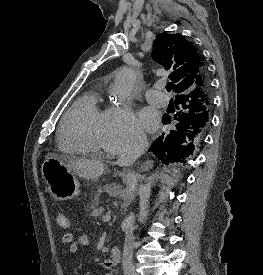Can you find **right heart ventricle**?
Returning a JSON list of instances; mask_svg holds the SVG:
<instances>
[{
  "label": "right heart ventricle",
  "mask_w": 263,
  "mask_h": 275,
  "mask_svg": "<svg viewBox=\"0 0 263 275\" xmlns=\"http://www.w3.org/2000/svg\"><path fill=\"white\" fill-rule=\"evenodd\" d=\"M109 108L100 105V95L88 91L65 113L59 128V148L69 154H98L103 149Z\"/></svg>",
  "instance_id": "right-heart-ventricle-1"
}]
</instances>
